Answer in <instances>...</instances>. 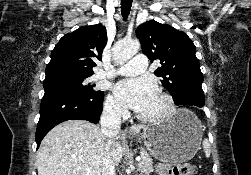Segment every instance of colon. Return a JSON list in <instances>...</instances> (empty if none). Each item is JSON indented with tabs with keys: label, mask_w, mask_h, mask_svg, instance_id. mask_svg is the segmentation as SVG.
<instances>
[{
	"label": "colon",
	"mask_w": 251,
	"mask_h": 175,
	"mask_svg": "<svg viewBox=\"0 0 251 175\" xmlns=\"http://www.w3.org/2000/svg\"><path fill=\"white\" fill-rule=\"evenodd\" d=\"M197 167L189 162L164 161L157 165L158 175H195Z\"/></svg>",
	"instance_id": "colon-1"
}]
</instances>
